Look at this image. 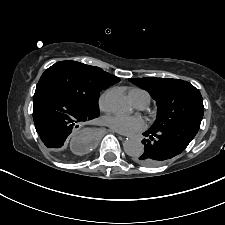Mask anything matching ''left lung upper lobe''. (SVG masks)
<instances>
[{"instance_id": "obj_1", "label": "left lung upper lobe", "mask_w": 225, "mask_h": 225, "mask_svg": "<svg viewBox=\"0 0 225 225\" xmlns=\"http://www.w3.org/2000/svg\"><path fill=\"white\" fill-rule=\"evenodd\" d=\"M129 81L149 92L156 101L157 117L151 130L161 131L187 122L201 123L204 113L202 96L189 82L154 77Z\"/></svg>"}]
</instances>
